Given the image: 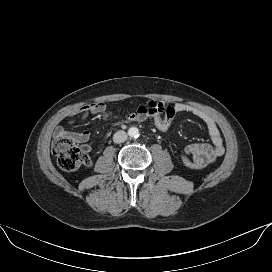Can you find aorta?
<instances>
[{
	"label": "aorta",
	"instance_id": "1",
	"mask_svg": "<svg viewBox=\"0 0 272 272\" xmlns=\"http://www.w3.org/2000/svg\"><path fill=\"white\" fill-rule=\"evenodd\" d=\"M128 135L131 138H137L139 136V129L137 127H131V128H129Z\"/></svg>",
	"mask_w": 272,
	"mask_h": 272
}]
</instances>
